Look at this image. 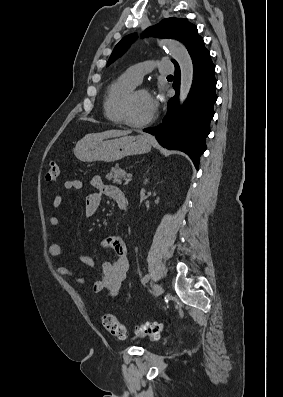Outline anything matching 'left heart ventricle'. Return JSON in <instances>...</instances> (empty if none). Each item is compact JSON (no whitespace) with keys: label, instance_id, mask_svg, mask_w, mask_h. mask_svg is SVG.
Wrapping results in <instances>:
<instances>
[{"label":"left heart ventricle","instance_id":"left-heart-ventricle-1","mask_svg":"<svg viewBox=\"0 0 283 397\" xmlns=\"http://www.w3.org/2000/svg\"><path fill=\"white\" fill-rule=\"evenodd\" d=\"M150 96L145 92H138L131 104V118L136 122H141L153 116L150 110Z\"/></svg>","mask_w":283,"mask_h":397}]
</instances>
